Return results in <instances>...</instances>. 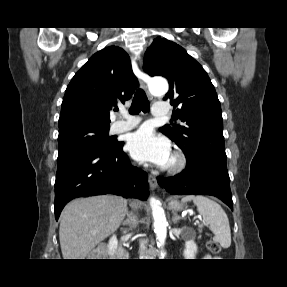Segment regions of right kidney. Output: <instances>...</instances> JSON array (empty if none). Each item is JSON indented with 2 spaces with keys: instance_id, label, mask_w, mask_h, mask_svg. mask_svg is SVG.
Segmentation results:
<instances>
[{
  "instance_id": "1",
  "label": "right kidney",
  "mask_w": 287,
  "mask_h": 287,
  "mask_svg": "<svg viewBox=\"0 0 287 287\" xmlns=\"http://www.w3.org/2000/svg\"><path fill=\"white\" fill-rule=\"evenodd\" d=\"M117 237L115 235H113L110 240H109V244H108V254L110 256H114L116 253V249H117Z\"/></svg>"
}]
</instances>
